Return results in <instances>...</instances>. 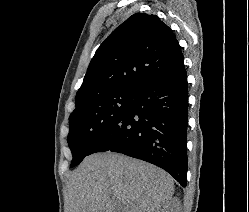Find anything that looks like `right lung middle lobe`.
I'll return each instance as SVG.
<instances>
[{"label": "right lung middle lobe", "mask_w": 249, "mask_h": 212, "mask_svg": "<svg viewBox=\"0 0 249 212\" xmlns=\"http://www.w3.org/2000/svg\"><path fill=\"white\" fill-rule=\"evenodd\" d=\"M135 94L134 91L106 93L76 106L69 117L68 145L73 156L71 167L89 155L96 141L131 104Z\"/></svg>", "instance_id": "dd1d6c3e"}]
</instances>
